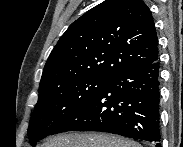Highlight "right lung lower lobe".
<instances>
[{
    "instance_id": "1",
    "label": "right lung lower lobe",
    "mask_w": 183,
    "mask_h": 147,
    "mask_svg": "<svg viewBox=\"0 0 183 147\" xmlns=\"http://www.w3.org/2000/svg\"><path fill=\"white\" fill-rule=\"evenodd\" d=\"M159 86L158 60L119 72L51 135L67 131H100L160 142Z\"/></svg>"
}]
</instances>
